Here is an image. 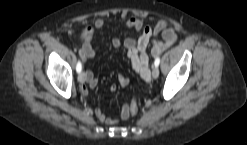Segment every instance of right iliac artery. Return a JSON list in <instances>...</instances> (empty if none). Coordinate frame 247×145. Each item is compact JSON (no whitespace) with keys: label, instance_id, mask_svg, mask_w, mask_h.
Masks as SVG:
<instances>
[{"label":"right iliac artery","instance_id":"1","mask_svg":"<svg viewBox=\"0 0 247 145\" xmlns=\"http://www.w3.org/2000/svg\"><path fill=\"white\" fill-rule=\"evenodd\" d=\"M81 70H82V64H81L80 61H78L77 66H76V71H77L78 73H80Z\"/></svg>","mask_w":247,"mask_h":145}]
</instances>
